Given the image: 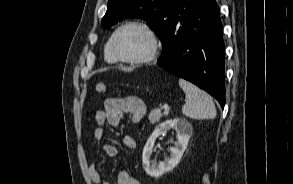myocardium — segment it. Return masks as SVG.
<instances>
[{"label": "myocardium", "mask_w": 293, "mask_h": 184, "mask_svg": "<svg viewBox=\"0 0 293 184\" xmlns=\"http://www.w3.org/2000/svg\"><path fill=\"white\" fill-rule=\"evenodd\" d=\"M129 27H137V28L144 30L150 38V43H151L150 49L145 55H143L141 57L125 58V57H122L121 55H119L118 52L116 51L115 41H116L118 34L122 30L129 28ZM110 51H111L112 56L118 62L127 63V64H144V63H148V62L154 60L157 57V55L160 51V40H159L155 30L149 24H147L143 21H129V22L122 24L120 27H118L114 31V33L112 34V36L110 38Z\"/></svg>", "instance_id": "1"}]
</instances>
